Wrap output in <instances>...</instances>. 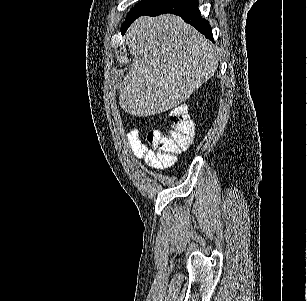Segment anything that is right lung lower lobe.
I'll use <instances>...</instances> for the list:
<instances>
[{
    "mask_svg": "<svg viewBox=\"0 0 307 301\" xmlns=\"http://www.w3.org/2000/svg\"><path fill=\"white\" fill-rule=\"evenodd\" d=\"M198 5V0H161L141 15L176 14L204 34L206 38L213 39L209 22L201 17Z\"/></svg>",
    "mask_w": 307,
    "mask_h": 301,
    "instance_id": "98d812e1",
    "label": "right lung lower lobe"
}]
</instances>
